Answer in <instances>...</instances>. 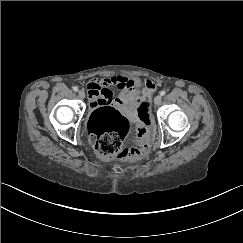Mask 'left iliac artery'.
Masks as SVG:
<instances>
[{
    "label": "left iliac artery",
    "mask_w": 243,
    "mask_h": 243,
    "mask_svg": "<svg viewBox=\"0 0 243 243\" xmlns=\"http://www.w3.org/2000/svg\"><path fill=\"white\" fill-rule=\"evenodd\" d=\"M165 94H166V91H161V92H160V95H161V96H164Z\"/></svg>",
    "instance_id": "44dca946"
}]
</instances>
